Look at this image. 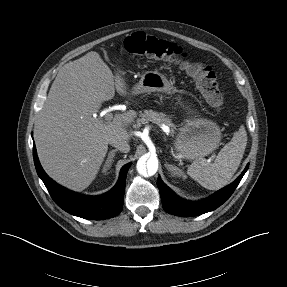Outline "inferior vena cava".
I'll use <instances>...</instances> for the list:
<instances>
[{
  "label": "inferior vena cava",
  "mask_w": 287,
  "mask_h": 287,
  "mask_svg": "<svg viewBox=\"0 0 287 287\" xmlns=\"http://www.w3.org/2000/svg\"><path fill=\"white\" fill-rule=\"evenodd\" d=\"M109 144L124 153H127L130 150L128 142L120 137L116 136L111 137L109 140Z\"/></svg>",
  "instance_id": "602c4592"
}]
</instances>
